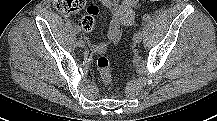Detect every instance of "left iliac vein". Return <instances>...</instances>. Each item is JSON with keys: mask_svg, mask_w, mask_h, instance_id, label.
Here are the masks:
<instances>
[{"mask_svg": "<svg viewBox=\"0 0 217 121\" xmlns=\"http://www.w3.org/2000/svg\"><path fill=\"white\" fill-rule=\"evenodd\" d=\"M143 34L141 31H137L133 36V42L134 43H140L142 41Z\"/></svg>", "mask_w": 217, "mask_h": 121, "instance_id": "obj_1", "label": "left iliac vein"}]
</instances>
